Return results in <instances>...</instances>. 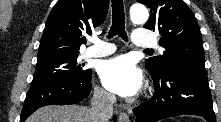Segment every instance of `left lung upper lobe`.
Masks as SVG:
<instances>
[{
	"label": "left lung upper lobe",
	"instance_id": "5c2ea615",
	"mask_svg": "<svg viewBox=\"0 0 221 122\" xmlns=\"http://www.w3.org/2000/svg\"><path fill=\"white\" fill-rule=\"evenodd\" d=\"M151 9L144 28L159 31V44L165 48L161 56L151 57L145 64L150 74L163 76L181 66L204 67V49L197 20L183 0H137Z\"/></svg>",
	"mask_w": 221,
	"mask_h": 122
}]
</instances>
